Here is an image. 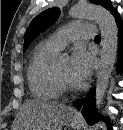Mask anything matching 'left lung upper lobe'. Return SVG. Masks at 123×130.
<instances>
[{
    "mask_svg": "<svg viewBox=\"0 0 123 130\" xmlns=\"http://www.w3.org/2000/svg\"><path fill=\"white\" fill-rule=\"evenodd\" d=\"M90 2L94 4H99L106 9L110 10L112 13L115 8L112 7L110 0H90ZM59 17V9L58 8H50L39 15H37L29 25V28L24 37V49L26 50L29 43L41 32L45 31L48 27H50L56 19Z\"/></svg>",
    "mask_w": 123,
    "mask_h": 130,
    "instance_id": "obj_1",
    "label": "left lung upper lobe"
}]
</instances>
